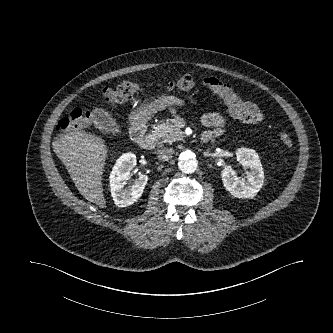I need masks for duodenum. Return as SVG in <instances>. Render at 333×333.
Returning <instances> with one entry per match:
<instances>
[{"label": "duodenum", "mask_w": 333, "mask_h": 333, "mask_svg": "<svg viewBox=\"0 0 333 333\" xmlns=\"http://www.w3.org/2000/svg\"><path fill=\"white\" fill-rule=\"evenodd\" d=\"M130 134L132 140L143 149H152L155 145L153 135L146 131V117L144 115H138L134 118ZM210 138L211 135L209 133H205L202 135L201 140L203 142H207Z\"/></svg>", "instance_id": "duodenum-1"}]
</instances>
